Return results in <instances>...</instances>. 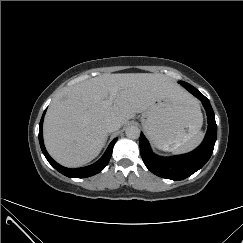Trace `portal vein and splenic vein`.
<instances>
[{
  "label": "portal vein and splenic vein",
  "mask_w": 243,
  "mask_h": 243,
  "mask_svg": "<svg viewBox=\"0 0 243 243\" xmlns=\"http://www.w3.org/2000/svg\"><path fill=\"white\" fill-rule=\"evenodd\" d=\"M117 93V89L112 90L109 98L104 101L106 105H111L114 102L115 95Z\"/></svg>",
  "instance_id": "18ae733b"
}]
</instances>
